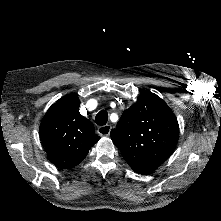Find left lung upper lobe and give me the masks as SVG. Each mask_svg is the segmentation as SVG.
Instances as JSON below:
<instances>
[{"label":"left lung upper lobe","instance_id":"1","mask_svg":"<svg viewBox=\"0 0 221 221\" xmlns=\"http://www.w3.org/2000/svg\"><path fill=\"white\" fill-rule=\"evenodd\" d=\"M178 136L176 116L151 92L141 94L111 131V139L126 162L143 175L156 170L172 154Z\"/></svg>","mask_w":221,"mask_h":221}]
</instances>
